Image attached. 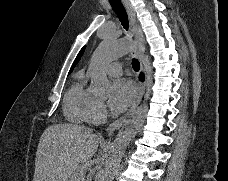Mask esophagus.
Listing matches in <instances>:
<instances>
[{
	"label": "esophagus",
	"instance_id": "1",
	"mask_svg": "<svg viewBox=\"0 0 228 181\" xmlns=\"http://www.w3.org/2000/svg\"><path fill=\"white\" fill-rule=\"evenodd\" d=\"M122 3L124 4L128 16L130 18L132 28H131V34L134 35L136 46L134 50L132 51V56L139 58V54L143 53V48H142V31L141 27L137 21L136 18V13L134 10V7H132V4L129 2V0H122ZM140 62L142 64V71H144V59L140 58ZM145 89H146V83L145 81L139 83V93L131 106V108L125 113V115L121 116L118 120L114 121L111 123V125L108 126L107 128V134L108 136H112L115 131H117L123 123L129 118V116L136 110V108L139 106L141 103V100L145 94Z\"/></svg>",
	"mask_w": 228,
	"mask_h": 181
}]
</instances>
